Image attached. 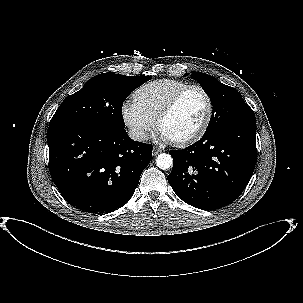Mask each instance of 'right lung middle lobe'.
Instances as JSON below:
<instances>
[{"label": "right lung middle lobe", "mask_w": 303, "mask_h": 303, "mask_svg": "<svg viewBox=\"0 0 303 303\" xmlns=\"http://www.w3.org/2000/svg\"><path fill=\"white\" fill-rule=\"evenodd\" d=\"M150 79L151 76L99 74L62 102L49 126L93 124L124 129L123 102L134 89Z\"/></svg>", "instance_id": "obj_1"}]
</instances>
